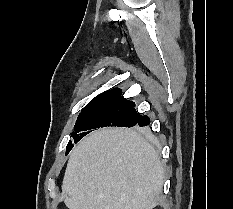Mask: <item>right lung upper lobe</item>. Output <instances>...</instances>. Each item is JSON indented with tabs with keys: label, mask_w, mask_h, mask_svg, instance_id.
I'll list each match as a JSON object with an SVG mask.
<instances>
[{
	"label": "right lung upper lobe",
	"mask_w": 233,
	"mask_h": 209,
	"mask_svg": "<svg viewBox=\"0 0 233 209\" xmlns=\"http://www.w3.org/2000/svg\"><path fill=\"white\" fill-rule=\"evenodd\" d=\"M99 103H133L121 96V89H112L93 98L88 105ZM134 104V103H133Z\"/></svg>",
	"instance_id": "right-lung-upper-lobe-1"
}]
</instances>
